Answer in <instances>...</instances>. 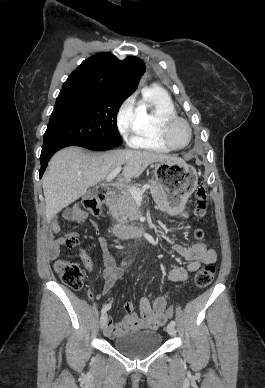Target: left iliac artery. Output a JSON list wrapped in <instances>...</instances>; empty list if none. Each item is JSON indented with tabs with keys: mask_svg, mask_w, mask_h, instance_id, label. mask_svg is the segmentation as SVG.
Returning <instances> with one entry per match:
<instances>
[{
	"mask_svg": "<svg viewBox=\"0 0 265 388\" xmlns=\"http://www.w3.org/2000/svg\"><path fill=\"white\" fill-rule=\"evenodd\" d=\"M170 325L175 326L176 325L175 321H171Z\"/></svg>",
	"mask_w": 265,
	"mask_h": 388,
	"instance_id": "left-iliac-artery-1",
	"label": "left iliac artery"
}]
</instances>
